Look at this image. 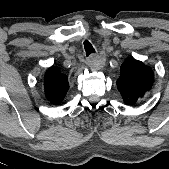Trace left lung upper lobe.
Masks as SVG:
<instances>
[{
    "mask_svg": "<svg viewBox=\"0 0 169 169\" xmlns=\"http://www.w3.org/2000/svg\"><path fill=\"white\" fill-rule=\"evenodd\" d=\"M121 75L117 80L118 90L127 105H133L144 96L153 83V71L141 61L128 58L121 68Z\"/></svg>",
    "mask_w": 169,
    "mask_h": 169,
    "instance_id": "1",
    "label": "left lung upper lobe"
}]
</instances>
